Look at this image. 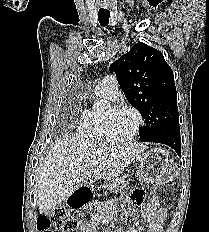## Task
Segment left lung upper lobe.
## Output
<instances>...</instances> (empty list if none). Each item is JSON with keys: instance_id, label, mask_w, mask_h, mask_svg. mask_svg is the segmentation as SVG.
Returning <instances> with one entry per match:
<instances>
[{"instance_id": "1", "label": "left lung upper lobe", "mask_w": 209, "mask_h": 232, "mask_svg": "<svg viewBox=\"0 0 209 232\" xmlns=\"http://www.w3.org/2000/svg\"><path fill=\"white\" fill-rule=\"evenodd\" d=\"M129 103L146 126L140 139L148 142L163 127L179 123L176 87L171 67L163 54L142 42L110 65Z\"/></svg>"}]
</instances>
